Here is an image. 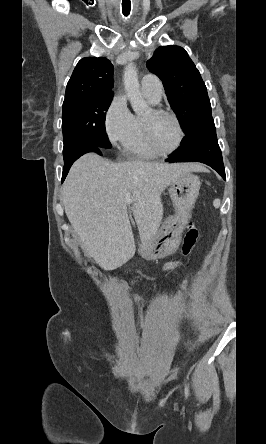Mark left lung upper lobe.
<instances>
[{"instance_id":"obj_1","label":"left lung upper lobe","mask_w":266,"mask_h":444,"mask_svg":"<svg viewBox=\"0 0 266 444\" xmlns=\"http://www.w3.org/2000/svg\"><path fill=\"white\" fill-rule=\"evenodd\" d=\"M146 65L162 80L170 106L186 133L212 119L205 83L182 47L161 46Z\"/></svg>"}]
</instances>
